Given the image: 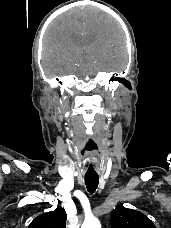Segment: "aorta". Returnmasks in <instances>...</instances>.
<instances>
[{"label": "aorta", "instance_id": "1", "mask_svg": "<svg viewBox=\"0 0 171 228\" xmlns=\"http://www.w3.org/2000/svg\"><path fill=\"white\" fill-rule=\"evenodd\" d=\"M81 228H101L99 220L95 217L86 218Z\"/></svg>", "mask_w": 171, "mask_h": 228}]
</instances>
